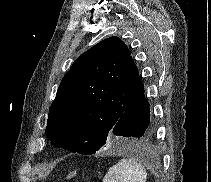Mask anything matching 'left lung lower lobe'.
Here are the masks:
<instances>
[{
    "label": "left lung lower lobe",
    "mask_w": 211,
    "mask_h": 182,
    "mask_svg": "<svg viewBox=\"0 0 211 182\" xmlns=\"http://www.w3.org/2000/svg\"><path fill=\"white\" fill-rule=\"evenodd\" d=\"M154 129L155 125L150 116L149 103L145 98L143 89L124 110L114 125L110 137H112L113 141L120 144H129L139 139L149 138L153 134Z\"/></svg>",
    "instance_id": "left-lung-lower-lobe-1"
}]
</instances>
